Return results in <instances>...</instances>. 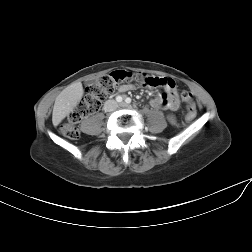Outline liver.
Instances as JSON below:
<instances>
[{"instance_id": "obj_1", "label": "liver", "mask_w": 252, "mask_h": 252, "mask_svg": "<svg viewBox=\"0 0 252 252\" xmlns=\"http://www.w3.org/2000/svg\"><path fill=\"white\" fill-rule=\"evenodd\" d=\"M83 96L81 82L72 83L66 87L57 97L54 103L52 122L57 126L77 106Z\"/></svg>"}]
</instances>
